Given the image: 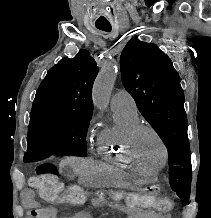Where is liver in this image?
<instances>
[{
	"label": "liver",
	"mask_w": 211,
	"mask_h": 218,
	"mask_svg": "<svg viewBox=\"0 0 211 218\" xmlns=\"http://www.w3.org/2000/svg\"><path fill=\"white\" fill-rule=\"evenodd\" d=\"M64 162L72 168L73 172H75L77 176H87L91 168H93L89 160H86V158H66Z\"/></svg>",
	"instance_id": "obj_1"
}]
</instances>
